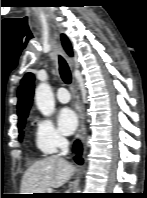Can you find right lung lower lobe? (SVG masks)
<instances>
[{"label": "right lung lower lobe", "instance_id": "1", "mask_svg": "<svg viewBox=\"0 0 147 198\" xmlns=\"http://www.w3.org/2000/svg\"><path fill=\"white\" fill-rule=\"evenodd\" d=\"M74 152L77 154V156L74 157L75 161L81 165L83 163V159L81 158L82 147L79 141H76L74 144Z\"/></svg>", "mask_w": 147, "mask_h": 198}]
</instances>
